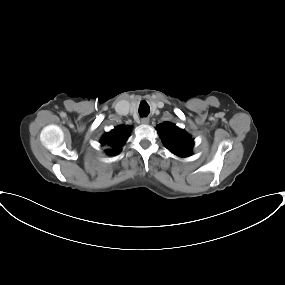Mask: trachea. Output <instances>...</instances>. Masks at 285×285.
Returning <instances> with one entry per match:
<instances>
[{
	"mask_svg": "<svg viewBox=\"0 0 285 285\" xmlns=\"http://www.w3.org/2000/svg\"><path fill=\"white\" fill-rule=\"evenodd\" d=\"M150 112V108L147 104L142 103L141 106L139 107V113L141 116H147Z\"/></svg>",
	"mask_w": 285,
	"mask_h": 285,
	"instance_id": "1",
	"label": "trachea"
}]
</instances>
